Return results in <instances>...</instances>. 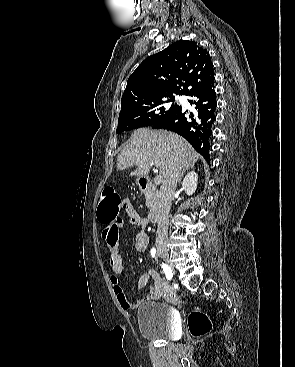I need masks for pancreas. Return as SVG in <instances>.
I'll list each match as a JSON object with an SVG mask.
<instances>
[{
    "label": "pancreas",
    "instance_id": "1",
    "mask_svg": "<svg viewBox=\"0 0 295 367\" xmlns=\"http://www.w3.org/2000/svg\"><path fill=\"white\" fill-rule=\"evenodd\" d=\"M146 198V207L147 208H154L157 204V194L155 192H146L145 193Z\"/></svg>",
    "mask_w": 295,
    "mask_h": 367
}]
</instances>
